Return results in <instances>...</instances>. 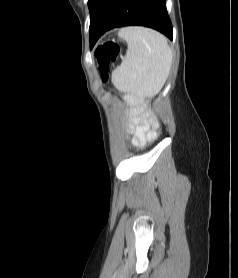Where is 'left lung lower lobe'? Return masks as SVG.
<instances>
[{
  "label": "left lung lower lobe",
  "instance_id": "1",
  "mask_svg": "<svg viewBox=\"0 0 238 278\" xmlns=\"http://www.w3.org/2000/svg\"><path fill=\"white\" fill-rule=\"evenodd\" d=\"M141 25L172 39V24L165 0H98L90 14V47L107 30Z\"/></svg>",
  "mask_w": 238,
  "mask_h": 278
}]
</instances>
